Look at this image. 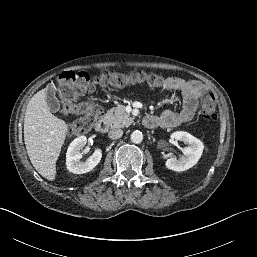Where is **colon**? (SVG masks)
Instances as JSON below:
<instances>
[{"mask_svg": "<svg viewBox=\"0 0 257 257\" xmlns=\"http://www.w3.org/2000/svg\"><path fill=\"white\" fill-rule=\"evenodd\" d=\"M164 78L156 73L144 71L129 74L102 71L91 76L85 71H68L60 75L59 95L62 112L74 114L77 119L69 126L68 135L77 136L90 132L102 117V109L93 102L80 101L81 97L92 92L97 85L124 87L129 84H147L160 87ZM200 113L203 119L214 121L217 118L216 102L213 94L205 93L200 99Z\"/></svg>", "mask_w": 257, "mask_h": 257, "instance_id": "obj_1", "label": "colon"}]
</instances>
